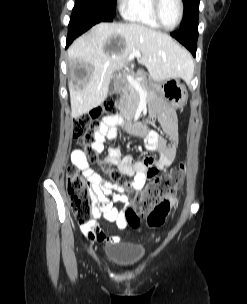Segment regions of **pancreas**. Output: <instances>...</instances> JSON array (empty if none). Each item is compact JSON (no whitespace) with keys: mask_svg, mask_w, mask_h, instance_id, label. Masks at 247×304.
<instances>
[{"mask_svg":"<svg viewBox=\"0 0 247 304\" xmlns=\"http://www.w3.org/2000/svg\"><path fill=\"white\" fill-rule=\"evenodd\" d=\"M139 83L147 92L146 97L148 101L157 97L156 85L148 84L145 80H139ZM119 103L123 106L122 109H120L121 113L124 116H132L135 114L140 103V94L131 84H128L123 90Z\"/></svg>","mask_w":247,"mask_h":304,"instance_id":"1","label":"pancreas"}]
</instances>
